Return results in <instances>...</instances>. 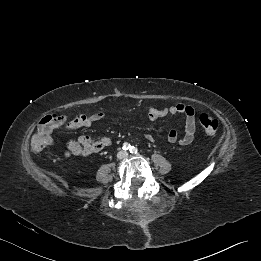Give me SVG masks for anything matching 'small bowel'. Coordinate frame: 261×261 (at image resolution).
I'll list each match as a JSON object with an SVG mask.
<instances>
[{
  "label": "small bowel",
  "instance_id": "small-bowel-1",
  "mask_svg": "<svg viewBox=\"0 0 261 261\" xmlns=\"http://www.w3.org/2000/svg\"><path fill=\"white\" fill-rule=\"evenodd\" d=\"M180 114L185 116L184 133L179 137L176 130H170L168 133V141L172 144L179 143L180 145L185 146L193 142L196 132L195 111L191 106L178 104L162 109L152 107L149 108L147 112V118L151 121H155L168 115L177 116ZM103 118L104 114L102 112H95L88 115L81 114L73 120L65 123L62 126V130L64 132H70L79 128L90 127L94 123L101 121ZM145 137L149 142L155 140L153 133H147ZM111 145L112 140L109 137L81 135L77 140L68 143L65 150V156H88L94 153H99Z\"/></svg>",
  "mask_w": 261,
  "mask_h": 261
}]
</instances>
